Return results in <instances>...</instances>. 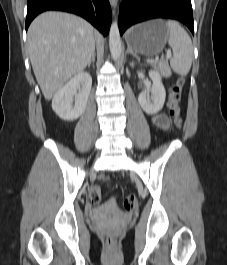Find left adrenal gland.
I'll return each mask as SVG.
<instances>
[{
  "mask_svg": "<svg viewBox=\"0 0 227 265\" xmlns=\"http://www.w3.org/2000/svg\"><path fill=\"white\" fill-rule=\"evenodd\" d=\"M131 53L133 56H136L129 48L126 50V54Z\"/></svg>",
  "mask_w": 227,
  "mask_h": 265,
  "instance_id": "obj_1",
  "label": "left adrenal gland"
}]
</instances>
